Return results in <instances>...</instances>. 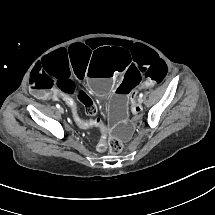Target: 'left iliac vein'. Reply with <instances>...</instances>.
<instances>
[{
  "mask_svg": "<svg viewBox=\"0 0 215 215\" xmlns=\"http://www.w3.org/2000/svg\"><path fill=\"white\" fill-rule=\"evenodd\" d=\"M143 102V101H142ZM139 99H138V102L137 103H135V105L137 106V105H141V103H142Z\"/></svg>",
  "mask_w": 215,
  "mask_h": 215,
  "instance_id": "1",
  "label": "left iliac vein"
}]
</instances>
